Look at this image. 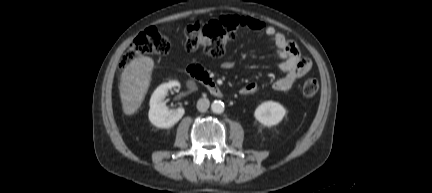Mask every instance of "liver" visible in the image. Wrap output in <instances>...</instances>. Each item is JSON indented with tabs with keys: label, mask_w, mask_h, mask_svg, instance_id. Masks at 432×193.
<instances>
[{
	"label": "liver",
	"mask_w": 432,
	"mask_h": 193,
	"mask_svg": "<svg viewBox=\"0 0 432 193\" xmlns=\"http://www.w3.org/2000/svg\"><path fill=\"white\" fill-rule=\"evenodd\" d=\"M154 62L149 57L134 59L122 72L119 92L125 115L134 114L148 91Z\"/></svg>",
	"instance_id": "liver-1"
}]
</instances>
